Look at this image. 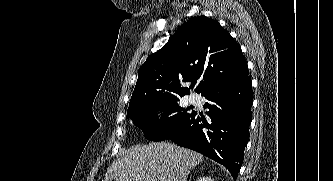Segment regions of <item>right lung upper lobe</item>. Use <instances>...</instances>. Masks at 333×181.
<instances>
[{"label": "right lung upper lobe", "mask_w": 333, "mask_h": 181, "mask_svg": "<svg viewBox=\"0 0 333 181\" xmlns=\"http://www.w3.org/2000/svg\"><path fill=\"white\" fill-rule=\"evenodd\" d=\"M248 77L240 46L213 19L197 16L185 23L140 67L129 109L153 100L177 98L189 93L183 82L195 83L206 92Z\"/></svg>", "instance_id": "obj_1"}]
</instances>
